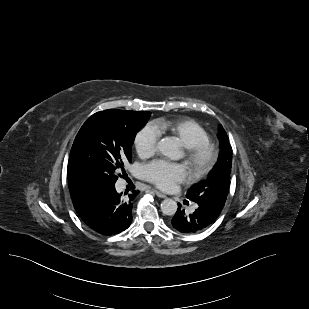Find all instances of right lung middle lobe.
<instances>
[{"label": "right lung middle lobe", "instance_id": "dd1d6c3e", "mask_svg": "<svg viewBox=\"0 0 309 309\" xmlns=\"http://www.w3.org/2000/svg\"><path fill=\"white\" fill-rule=\"evenodd\" d=\"M150 112L110 109L93 114L79 130L69 156L68 176L99 186L114 187L125 173L123 160L131 161L136 133Z\"/></svg>", "mask_w": 309, "mask_h": 309}]
</instances>
